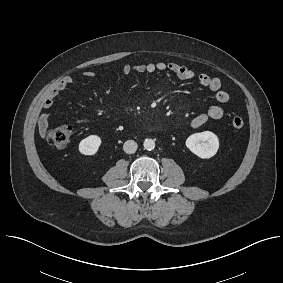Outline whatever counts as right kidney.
I'll use <instances>...</instances> for the list:
<instances>
[{"instance_id": "1", "label": "right kidney", "mask_w": 283, "mask_h": 283, "mask_svg": "<svg viewBox=\"0 0 283 283\" xmlns=\"http://www.w3.org/2000/svg\"><path fill=\"white\" fill-rule=\"evenodd\" d=\"M101 138L97 135H90L80 141L78 150L83 155H94L99 150Z\"/></svg>"}]
</instances>
